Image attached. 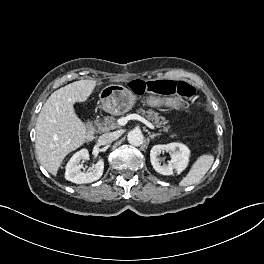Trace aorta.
<instances>
[{
  "mask_svg": "<svg viewBox=\"0 0 264 264\" xmlns=\"http://www.w3.org/2000/svg\"><path fill=\"white\" fill-rule=\"evenodd\" d=\"M128 142L134 146H140L143 143V134L140 130L134 129L128 133Z\"/></svg>",
  "mask_w": 264,
  "mask_h": 264,
  "instance_id": "762f6f07",
  "label": "aorta"
}]
</instances>
